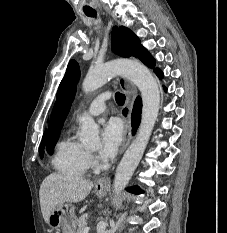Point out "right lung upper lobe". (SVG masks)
I'll return each instance as SVG.
<instances>
[{"label":"right lung upper lobe","mask_w":227,"mask_h":233,"mask_svg":"<svg viewBox=\"0 0 227 233\" xmlns=\"http://www.w3.org/2000/svg\"><path fill=\"white\" fill-rule=\"evenodd\" d=\"M45 139H46V133H44V136H43V139H42V142H41L40 148H42V149H44Z\"/></svg>","instance_id":"obj_1"}]
</instances>
